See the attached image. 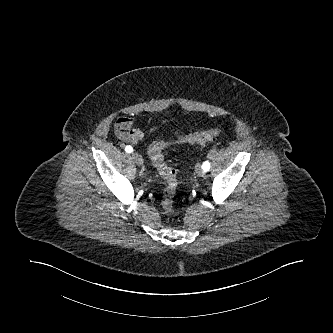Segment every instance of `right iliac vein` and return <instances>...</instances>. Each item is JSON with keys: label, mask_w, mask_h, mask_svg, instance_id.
Listing matches in <instances>:
<instances>
[{"label": "right iliac vein", "mask_w": 333, "mask_h": 333, "mask_svg": "<svg viewBox=\"0 0 333 333\" xmlns=\"http://www.w3.org/2000/svg\"><path fill=\"white\" fill-rule=\"evenodd\" d=\"M132 158L137 165L141 166L143 164V158L138 153L133 152Z\"/></svg>", "instance_id": "63e3f726"}]
</instances>
